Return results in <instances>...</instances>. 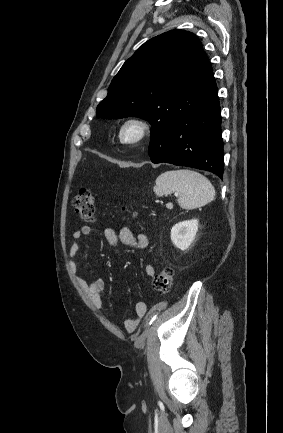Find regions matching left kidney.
I'll return each mask as SVG.
<instances>
[{"label": "left kidney", "instance_id": "obj_1", "mask_svg": "<svg viewBox=\"0 0 283 433\" xmlns=\"http://www.w3.org/2000/svg\"><path fill=\"white\" fill-rule=\"evenodd\" d=\"M198 231V220L192 219L175 224L170 233L172 243L181 250L189 248Z\"/></svg>", "mask_w": 283, "mask_h": 433}]
</instances>
